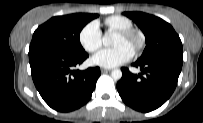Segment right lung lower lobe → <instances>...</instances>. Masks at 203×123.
I'll use <instances>...</instances> for the list:
<instances>
[{
    "label": "right lung lower lobe",
    "mask_w": 203,
    "mask_h": 123,
    "mask_svg": "<svg viewBox=\"0 0 203 123\" xmlns=\"http://www.w3.org/2000/svg\"><path fill=\"white\" fill-rule=\"evenodd\" d=\"M88 54H72L45 47L29 48L34 84L43 100L60 112L76 110L91 98L100 76V68L75 70Z\"/></svg>",
    "instance_id": "98d812e1"
}]
</instances>
